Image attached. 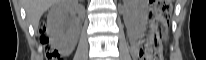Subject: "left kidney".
I'll list each match as a JSON object with an SVG mask.
<instances>
[{"instance_id": "5707ae66", "label": "left kidney", "mask_w": 206, "mask_h": 60, "mask_svg": "<svg viewBox=\"0 0 206 60\" xmlns=\"http://www.w3.org/2000/svg\"><path fill=\"white\" fill-rule=\"evenodd\" d=\"M147 0H130L127 3L125 21L133 40L141 38L147 23Z\"/></svg>"}]
</instances>
